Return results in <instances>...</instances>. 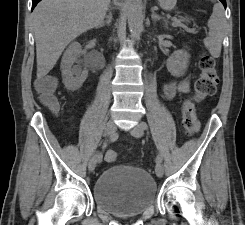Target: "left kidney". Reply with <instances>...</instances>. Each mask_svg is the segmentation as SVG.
<instances>
[{"label":"left kidney","instance_id":"left-kidney-1","mask_svg":"<svg viewBox=\"0 0 245 225\" xmlns=\"http://www.w3.org/2000/svg\"><path fill=\"white\" fill-rule=\"evenodd\" d=\"M190 55L185 50L175 51L166 61L168 71L176 77L183 76L187 67Z\"/></svg>","mask_w":245,"mask_h":225}]
</instances>
